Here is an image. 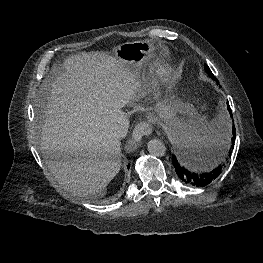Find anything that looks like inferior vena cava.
I'll return each instance as SVG.
<instances>
[{
  "mask_svg": "<svg viewBox=\"0 0 263 263\" xmlns=\"http://www.w3.org/2000/svg\"><path fill=\"white\" fill-rule=\"evenodd\" d=\"M128 128L129 121L126 116L123 118L114 119L109 126V134L111 138L119 141L127 135Z\"/></svg>",
  "mask_w": 263,
  "mask_h": 263,
  "instance_id": "602c4592",
  "label": "inferior vena cava"
}]
</instances>
